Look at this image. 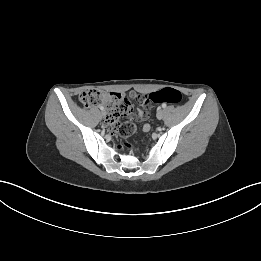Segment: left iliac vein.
I'll return each instance as SVG.
<instances>
[{"mask_svg":"<svg viewBox=\"0 0 261 261\" xmlns=\"http://www.w3.org/2000/svg\"><path fill=\"white\" fill-rule=\"evenodd\" d=\"M163 116H164L163 110H159V111L157 112V118H158V119H162Z\"/></svg>","mask_w":261,"mask_h":261,"instance_id":"left-iliac-vein-1","label":"left iliac vein"}]
</instances>
